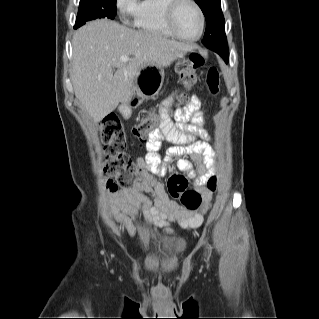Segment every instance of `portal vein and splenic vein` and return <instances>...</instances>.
Wrapping results in <instances>:
<instances>
[{
  "label": "portal vein and splenic vein",
  "instance_id": "portal-vein-and-splenic-vein-1",
  "mask_svg": "<svg viewBox=\"0 0 319 319\" xmlns=\"http://www.w3.org/2000/svg\"><path fill=\"white\" fill-rule=\"evenodd\" d=\"M120 60L121 61H128V60H130V58L127 55H122V56H120Z\"/></svg>",
  "mask_w": 319,
  "mask_h": 319
}]
</instances>
